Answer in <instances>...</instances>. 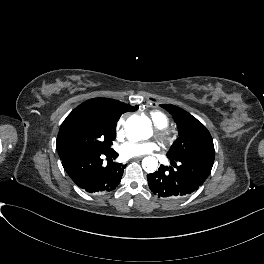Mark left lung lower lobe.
I'll list each match as a JSON object with an SVG mask.
<instances>
[{
  "mask_svg": "<svg viewBox=\"0 0 264 264\" xmlns=\"http://www.w3.org/2000/svg\"><path fill=\"white\" fill-rule=\"evenodd\" d=\"M147 181L148 187L152 194L160 199H175L194 192L170 184L169 182L162 179V177H160L157 172L148 174Z\"/></svg>",
  "mask_w": 264,
  "mask_h": 264,
  "instance_id": "obj_1",
  "label": "left lung lower lobe"
}]
</instances>
